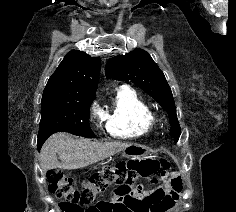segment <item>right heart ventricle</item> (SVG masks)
<instances>
[{
  "instance_id": "e07e8e85",
  "label": "right heart ventricle",
  "mask_w": 236,
  "mask_h": 212,
  "mask_svg": "<svg viewBox=\"0 0 236 212\" xmlns=\"http://www.w3.org/2000/svg\"><path fill=\"white\" fill-rule=\"evenodd\" d=\"M102 117L108 134L120 139L144 136L152 131L154 125L150 105L127 85L116 88L113 105Z\"/></svg>"
}]
</instances>
